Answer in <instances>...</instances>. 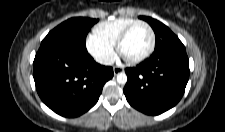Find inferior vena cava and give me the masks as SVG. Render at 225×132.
Segmentation results:
<instances>
[{"label": "inferior vena cava", "mask_w": 225, "mask_h": 132, "mask_svg": "<svg viewBox=\"0 0 225 132\" xmlns=\"http://www.w3.org/2000/svg\"><path fill=\"white\" fill-rule=\"evenodd\" d=\"M97 61L103 65H112L114 64L115 59L113 57H109V58H100Z\"/></svg>", "instance_id": "inferior-vena-cava-1"}]
</instances>
